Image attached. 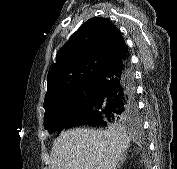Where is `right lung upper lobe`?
Wrapping results in <instances>:
<instances>
[{"instance_id": "cb5924a9", "label": "right lung upper lobe", "mask_w": 177, "mask_h": 169, "mask_svg": "<svg viewBox=\"0 0 177 169\" xmlns=\"http://www.w3.org/2000/svg\"><path fill=\"white\" fill-rule=\"evenodd\" d=\"M127 54L124 38L111 21L102 17L87 20L57 53L47 76L44 108L94 81L104 68Z\"/></svg>"}]
</instances>
